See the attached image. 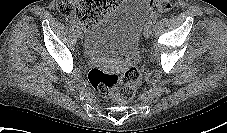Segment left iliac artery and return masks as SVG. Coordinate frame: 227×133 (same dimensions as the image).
I'll return each mask as SVG.
<instances>
[{"label": "left iliac artery", "mask_w": 227, "mask_h": 133, "mask_svg": "<svg viewBox=\"0 0 227 133\" xmlns=\"http://www.w3.org/2000/svg\"><path fill=\"white\" fill-rule=\"evenodd\" d=\"M157 21V15H152L151 18L149 19V23L152 25L155 24Z\"/></svg>", "instance_id": "left-iliac-artery-1"}]
</instances>
